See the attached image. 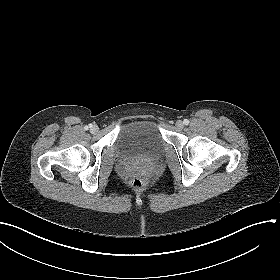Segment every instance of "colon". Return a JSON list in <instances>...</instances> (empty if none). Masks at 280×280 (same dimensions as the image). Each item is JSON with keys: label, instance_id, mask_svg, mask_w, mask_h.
Segmentation results:
<instances>
[{"label": "colon", "instance_id": "1", "mask_svg": "<svg viewBox=\"0 0 280 280\" xmlns=\"http://www.w3.org/2000/svg\"><path fill=\"white\" fill-rule=\"evenodd\" d=\"M131 186L137 191L145 189L147 187L146 177L140 172H135L132 175Z\"/></svg>", "mask_w": 280, "mask_h": 280}]
</instances>
